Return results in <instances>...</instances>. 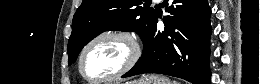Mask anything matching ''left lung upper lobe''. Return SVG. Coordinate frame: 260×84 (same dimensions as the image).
<instances>
[{
	"label": "left lung upper lobe",
	"mask_w": 260,
	"mask_h": 84,
	"mask_svg": "<svg viewBox=\"0 0 260 84\" xmlns=\"http://www.w3.org/2000/svg\"><path fill=\"white\" fill-rule=\"evenodd\" d=\"M141 4V0H83L72 21L69 64L90 40L106 30L134 31L145 43L156 14Z\"/></svg>",
	"instance_id": "1"
}]
</instances>
